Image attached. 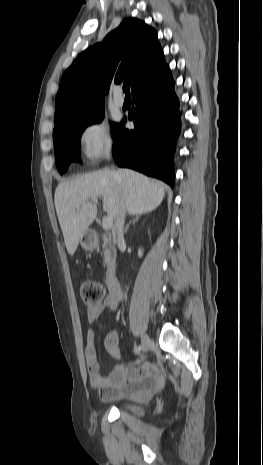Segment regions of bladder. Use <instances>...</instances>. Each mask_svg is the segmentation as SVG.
<instances>
[{
  "label": "bladder",
  "instance_id": "1",
  "mask_svg": "<svg viewBox=\"0 0 263 465\" xmlns=\"http://www.w3.org/2000/svg\"><path fill=\"white\" fill-rule=\"evenodd\" d=\"M114 407L119 412L129 414L134 417H142L145 414L144 407L138 402L134 401H121L116 403Z\"/></svg>",
  "mask_w": 263,
  "mask_h": 465
}]
</instances>
